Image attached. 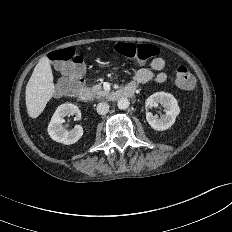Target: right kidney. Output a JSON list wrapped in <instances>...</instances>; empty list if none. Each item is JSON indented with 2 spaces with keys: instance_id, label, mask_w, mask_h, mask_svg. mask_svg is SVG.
Wrapping results in <instances>:
<instances>
[{
  "instance_id": "right-kidney-1",
  "label": "right kidney",
  "mask_w": 232,
  "mask_h": 232,
  "mask_svg": "<svg viewBox=\"0 0 232 232\" xmlns=\"http://www.w3.org/2000/svg\"><path fill=\"white\" fill-rule=\"evenodd\" d=\"M67 115H75L79 120L81 111L74 104H62L56 109L48 125V134L51 139L65 145L77 142L83 135V128L80 125H76L72 130H66L62 126V123L65 122L64 117Z\"/></svg>"
}]
</instances>
